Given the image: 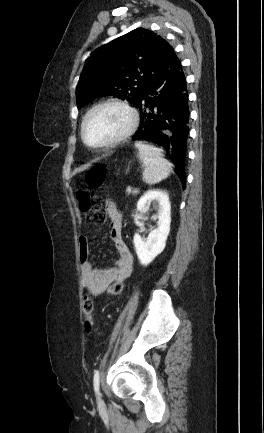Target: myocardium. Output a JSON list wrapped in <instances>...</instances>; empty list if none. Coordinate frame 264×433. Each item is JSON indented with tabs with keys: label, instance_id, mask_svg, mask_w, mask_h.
Here are the masks:
<instances>
[{
	"label": "myocardium",
	"instance_id": "f54148a6",
	"mask_svg": "<svg viewBox=\"0 0 264 433\" xmlns=\"http://www.w3.org/2000/svg\"><path fill=\"white\" fill-rule=\"evenodd\" d=\"M106 106H116V107L123 109L128 114V117H129L128 125H127L126 129L121 134H119L118 136L111 138L107 141H104L102 143H99V144H92L87 140L86 135H85L86 123H87L89 117L95 111H97L100 108L106 107ZM138 121H139V117H138V113H137L136 109L133 106H131L128 102L121 100V99H116V98L106 99V100L100 101L97 104H95L85 114V116L82 120V123H81V127H80L81 138L86 145L93 147V148L113 147V146H116V145L122 143L123 141L128 139L134 133V131L138 125Z\"/></svg>",
	"mask_w": 264,
	"mask_h": 433
}]
</instances>
